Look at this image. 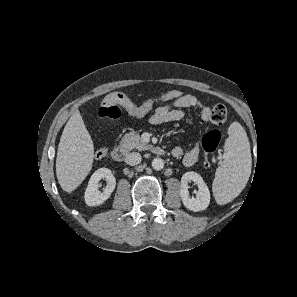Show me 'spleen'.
I'll return each instance as SVG.
<instances>
[{
	"label": "spleen",
	"instance_id": "3e777b00",
	"mask_svg": "<svg viewBox=\"0 0 297 297\" xmlns=\"http://www.w3.org/2000/svg\"><path fill=\"white\" fill-rule=\"evenodd\" d=\"M224 146V160L216 171V198H234L245 187L250 176L252 159L247 134L240 123L233 122Z\"/></svg>",
	"mask_w": 297,
	"mask_h": 297
}]
</instances>
